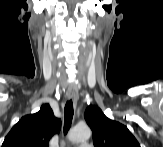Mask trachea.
Returning <instances> with one entry per match:
<instances>
[{"label":"trachea","mask_w":163,"mask_h":147,"mask_svg":"<svg viewBox=\"0 0 163 147\" xmlns=\"http://www.w3.org/2000/svg\"><path fill=\"white\" fill-rule=\"evenodd\" d=\"M65 117H64V134L66 135L70 126H71V122H72V119H73V113H74V110H73V103H72V100H69L66 102V105H65Z\"/></svg>","instance_id":"trachea-1"}]
</instances>
